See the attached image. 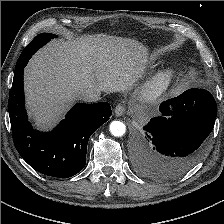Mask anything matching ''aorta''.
I'll return each instance as SVG.
<instances>
[{"label":"aorta","instance_id":"762f6f07","mask_svg":"<svg viewBox=\"0 0 224 224\" xmlns=\"http://www.w3.org/2000/svg\"><path fill=\"white\" fill-rule=\"evenodd\" d=\"M110 132L113 136L121 137L126 132V126L120 121H113L110 124Z\"/></svg>","mask_w":224,"mask_h":224}]
</instances>
